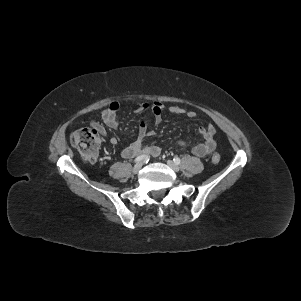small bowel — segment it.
Listing matches in <instances>:
<instances>
[{"label":"small bowel","mask_w":301,"mask_h":301,"mask_svg":"<svg viewBox=\"0 0 301 301\" xmlns=\"http://www.w3.org/2000/svg\"><path fill=\"white\" fill-rule=\"evenodd\" d=\"M121 108V103L118 101L112 102L107 108L100 113L101 122L91 121V125L102 136H108V129H116L119 126L118 112ZM137 110H144L150 108L153 114V121L155 124H159L162 121L164 105L160 102H137L135 104ZM168 111L175 115H186L189 118H194L196 112L193 110H186L180 106H171ZM200 136L203 138V142L195 145L192 149V153L198 157H206L216 149L215 141V127L212 124L202 126L198 129ZM154 135L153 131L148 130L147 123L142 120L139 125L137 139L125 147L121 155L123 158L129 159L133 156L145 152L152 157H157L161 149L158 146H145L144 141L148 137ZM110 143L116 145L118 140L116 137H110ZM180 146L184 145L183 141H179Z\"/></svg>","instance_id":"1"}]
</instances>
